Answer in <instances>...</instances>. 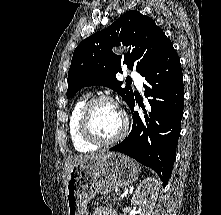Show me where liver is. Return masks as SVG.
<instances>
[{
    "label": "liver",
    "instance_id": "1",
    "mask_svg": "<svg viewBox=\"0 0 221 215\" xmlns=\"http://www.w3.org/2000/svg\"><path fill=\"white\" fill-rule=\"evenodd\" d=\"M103 152H100L98 154H90V155H84V156H69L64 164V173H63V178H64V184L66 186L68 177L73 169V167L82 161L88 160V159H94L98 158L99 156L103 155Z\"/></svg>",
    "mask_w": 221,
    "mask_h": 215
}]
</instances>
